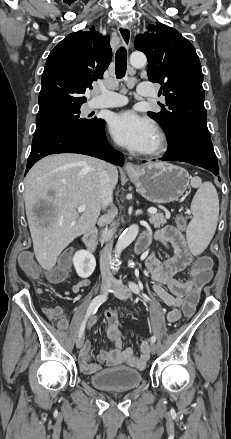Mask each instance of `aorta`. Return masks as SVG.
<instances>
[{
    "label": "aorta",
    "mask_w": 231,
    "mask_h": 439,
    "mask_svg": "<svg viewBox=\"0 0 231 439\" xmlns=\"http://www.w3.org/2000/svg\"><path fill=\"white\" fill-rule=\"evenodd\" d=\"M130 63L135 68H141L146 65L147 58L145 54L142 52H133L130 56ZM138 232H139V227L136 224H133L130 227H128L126 230H124V232L119 236L116 244V248H115L116 256H119L122 253V251L135 240Z\"/></svg>",
    "instance_id": "762f6f07"
}]
</instances>
